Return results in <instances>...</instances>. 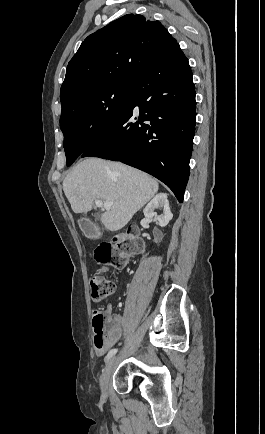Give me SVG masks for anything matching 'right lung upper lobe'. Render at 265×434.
I'll list each match as a JSON object with an SVG mask.
<instances>
[{
    "label": "right lung upper lobe",
    "mask_w": 265,
    "mask_h": 434,
    "mask_svg": "<svg viewBox=\"0 0 265 434\" xmlns=\"http://www.w3.org/2000/svg\"><path fill=\"white\" fill-rule=\"evenodd\" d=\"M176 44L159 21L125 15L84 40L67 66L60 95L111 76L136 78Z\"/></svg>",
    "instance_id": "right-lung-upper-lobe-1"
}]
</instances>
